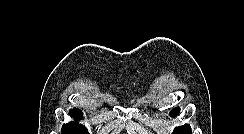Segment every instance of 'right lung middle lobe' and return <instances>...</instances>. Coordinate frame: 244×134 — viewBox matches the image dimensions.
<instances>
[{"label": "right lung middle lobe", "mask_w": 244, "mask_h": 134, "mask_svg": "<svg viewBox=\"0 0 244 134\" xmlns=\"http://www.w3.org/2000/svg\"><path fill=\"white\" fill-rule=\"evenodd\" d=\"M61 131L62 134H88V130L76 122L64 124Z\"/></svg>", "instance_id": "obj_1"}]
</instances>
